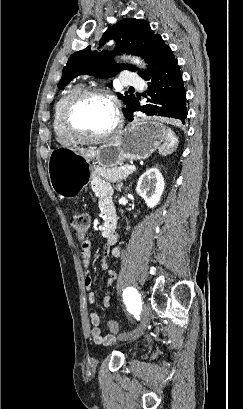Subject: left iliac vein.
Listing matches in <instances>:
<instances>
[{"instance_id": "4c4485c4", "label": "left iliac vein", "mask_w": 243, "mask_h": 409, "mask_svg": "<svg viewBox=\"0 0 243 409\" xmlns=\"http://www.w3.org/2000/svg\"><path fill=\"white\" fill-rule=\"evenodd\" d=\"M150 316H151V310L149 305L145 304L143 306V310H142V322L141 324L134 329L133 331L130 332H124L122 334H120L118 336V340L120 341H126V340H133L138 338L139 336H141L143 334V332L145 331L147 325L150 322Z\"/></svg>"}]
</instances>
